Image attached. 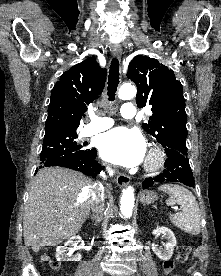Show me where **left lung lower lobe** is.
Instances as JSON below:
<instances>
[{
	"label": "left lung lower lobe",
	"mask_w": 221,
	"mask_h": 276,
	"mask_svg": "<svg viewBox=\"0 0 221 276\" xmlns=\"http://www.w3.org/2000/svg\"><path fill=\"white\" fill-rule=\"evenodd\" d=\"M165 167L166 169L158 176L146 178L142 182V188H149L158 182H181L187 186L194 187L195 181L187 155L181 153L167 154Z\"/></svg>",
	"instance_id": "1"
}]
</instances>
